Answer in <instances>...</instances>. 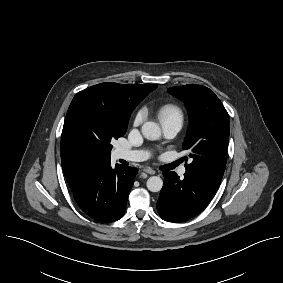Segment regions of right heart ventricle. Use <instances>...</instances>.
<instances>
[{
	"mask_svg": "<svg viewBox=\"0 0 283 283\" xmlns=\"http://www.w3.org/2000/svg\"><path fill=\"white\" fill-rule=\"evenodd\" d=\"M158 118L161 123L170 121L182 123L183 112L179 106L172 103H168L159 108Z\"/></svg>",
	"mask_w": 283,
	"mask_h": 283,
	"instance_id": "obj_1",
	"label": "right heart ventricle"
}]
</instances>
